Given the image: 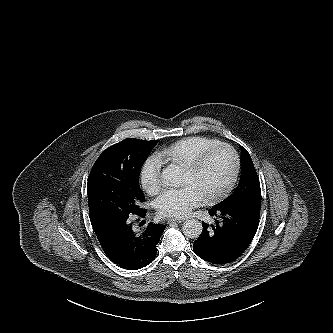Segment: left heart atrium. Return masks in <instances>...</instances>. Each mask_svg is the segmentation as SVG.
<instances>
[{
  "mask_svg": "<svg viewBox=\"0 0 333 333\" xmlns=\"http://www.w3.org/2000/svg\"><path fill=\"white\" fill-rule=\"evenodd\" d=\"M202 195L192 186L185 185L180 188L165 190L156 199V208L163 217L181 218L188 215L191 210L203 201Z\"/></svg>",
  "mask_w": 333,
  "mask_h": 333,
  "instance_id": "left-heart-atrium-1",
  "label": "left heart atrium"
}]
</instances>
